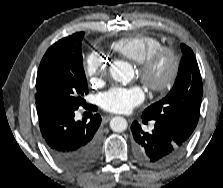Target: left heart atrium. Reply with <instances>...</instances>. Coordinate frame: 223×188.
Instances as JSON below:
<instances>
[{
	"label": "left heart atrium",
	"instance_id": "1",
	"mask_svg": "<svg viewBox=\"0 0 223 188\" xmlns=\"http://www.w3.org/2000/svg\"><path fill=\"white\" fill-rule=\"evenodd\" d=\"M145 99L144 91L139 86L130 88L113 87L99 97L101 107L111 113H128Z\"/></svg>",
	"mask_w": 223,
	"mask_h": 188
}]
</instances>
